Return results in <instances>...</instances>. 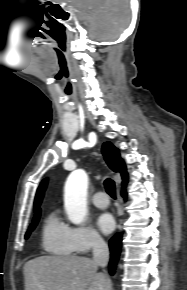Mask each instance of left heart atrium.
Masks as SVG:
<instances>
[{
  "instance_id": "39dd6f15",
  "label": "left heart atrium",
  "mask_w": 187,
  "mask_h": 290,
  "mask_svg": "<svg viewBox=\"0 0 187 290\" xmlns=\"http://www.w3.org/2000/svg\"><path fill=\"white\" fill-rule=\"evenodd\" d=\"M96 224L103 233H110L115 227V221L109 213H102L97 217Z\"/></svg>"
}]
</instances>
